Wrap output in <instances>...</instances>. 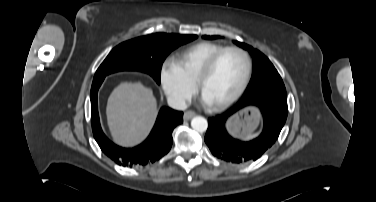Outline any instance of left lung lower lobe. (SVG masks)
<instances>
[{
  "mask_svg": "<svg viewBox=\"0 0 376 202\" xmlns=\"http://www.w3.org/2000/svg\"><path fill=\"white\" fill-rule=\"evenodd\" d=\"M247 106H256L264 119L262 133L254 140L244 142L232 138L225 128L230 116ZM288 114L287 99L269 94L241 99L221 115L208 119L205 142L217 158L232 163L257 160L278 139Z\"/></svg>",
  "mask_w": 376,
  "mask_h": 202,
  "instance_id": "left-lung-lower-lobe-1",
  "label": "left lung lower lobe"
}]
</instances>
